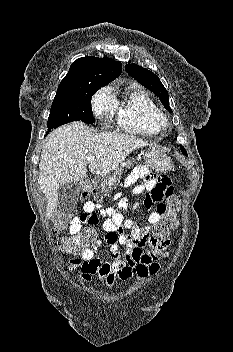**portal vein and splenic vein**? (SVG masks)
Instances as JSON below:
<instances>
[{
  "instance_id": "18ae733b",
  "label": "portal vein and splenic vein",
  "mask_w": 233,
  "mask_h": 352,
  "mask_svg": "<svg viewBox=\"0 0 233 352\" xmlns=\"http://www.w3.org/2000/svg\"><path fill=\"white\" fill-rule=\"evenodd\" d=\"M94 160H95V157H93V156L87 157V161H88V162H92V161H94Z\"/></svg>"
}]
</instances>
